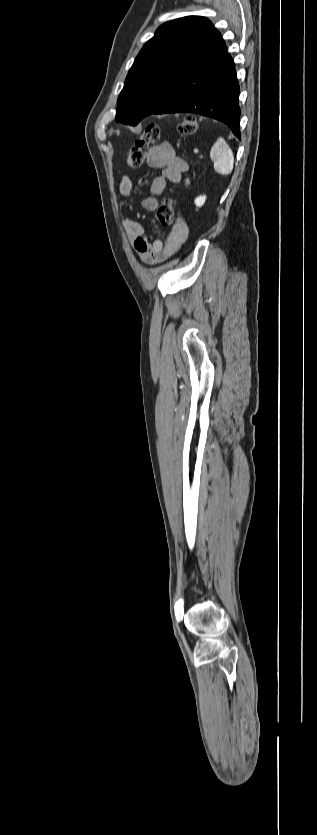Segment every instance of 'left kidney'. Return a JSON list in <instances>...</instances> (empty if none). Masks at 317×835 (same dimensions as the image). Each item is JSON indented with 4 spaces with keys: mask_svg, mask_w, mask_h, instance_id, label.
Wrapping results in <instances>:
<instances>
[{
    "mask_svg": "<svg viewBox=\"0 0 317 835\" xmlns=\"http://www.w3.org/2000/svg\"><path fill=\"white\" fill-rule=\"evenodd\" d=\"M205 201H206V196H198V197L195 199V205H196L197 207H201V206H203V205H204Z\"/></svg>",
    "mask_w": 317,
    "mask_h": 835,
    "instance_id": "left-kidney-1",
    "label": "left kidney"
}]
</instances>
